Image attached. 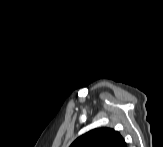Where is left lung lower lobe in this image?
Instances as JSON below:
<instances>
[{
	"label": "left lung lower lobe",
	"mask_w": 163,
	"mask_h": 147,
	"mask_svg": "<svg viewBox=\"0 0 163 147\" xmlns=\"http://www.w3.org/2000/svg\"><path fill=\"white\" fill-rule=\"evenodd\" d=\"M117 147H126V144H125L123 138L120 140V142H119V144L117 145Z\"/></svg>",
	"instance_id": "obj_1"
}]
</instances>
